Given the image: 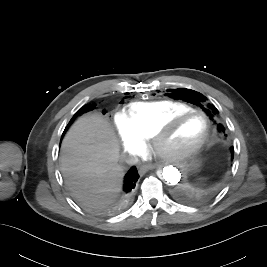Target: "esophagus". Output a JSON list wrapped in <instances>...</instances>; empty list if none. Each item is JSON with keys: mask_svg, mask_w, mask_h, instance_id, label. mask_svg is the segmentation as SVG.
Listing matches in <instances>:
<instances>
[{"mask_svg": "<svg viewBox=\"0 0 267 267\" xmlns=\"http://www.w3.org/2000/svg\"><path fill=\"white\" fill-rule=\"evenodd\" d=\"M154 168V165H144L139 169V173L141 175L145 174L148 170H151Z\"/></svg>", "mask_w": 267, "mask_h": 267, "instance_id": "esophagus-1", "label": "esophagus"}]
</instances>
